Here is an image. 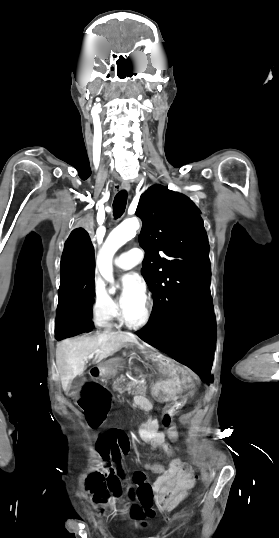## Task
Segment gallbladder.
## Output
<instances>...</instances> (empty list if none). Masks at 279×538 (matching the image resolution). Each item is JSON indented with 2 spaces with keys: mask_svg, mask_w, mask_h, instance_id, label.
<instances>
[{
  "mask_svg": "<svg viewBox=\"0 0 279 538\" xmlns=\"http://www.w3.org/2000/svg\"><path fill=\"white\" fill-rule=\"evenodd\" d=\"M84 382H86V378H76V380H73L71 388H80V386H83Z\"/></svg>",
  "mask_w": 279,
  "mask_h": 538,
  "instance_id": "1",
  "label": "gallbladder"
}]
</instances>
